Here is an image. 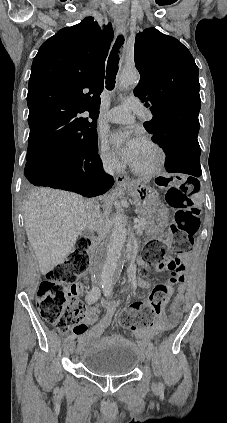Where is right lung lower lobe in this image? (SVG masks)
<instances>
[{"label": "right lung lower lobe", "instance_id": "obj_1", "mask_svg": "<svg viewBox=\"0 0 227 423\" xmlns=\"http://www.w3.org/2000/svg\"><path fill=\"white\" fill-rule=\"evenodd\" d=\"M98 148L76 155L52 149L27 161L24 174L35 186L72 191L85 197L108 191L114 180L103 173Z\"/></svg>", "mask_w": 227, "mask_h": 423}]
</instances>
